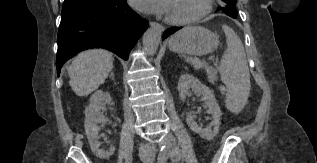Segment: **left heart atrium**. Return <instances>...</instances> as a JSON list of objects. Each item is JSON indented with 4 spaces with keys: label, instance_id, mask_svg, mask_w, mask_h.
I'll use <instances>...</instances> for the list:
<instances>
[{
    "label": "left heart atrium",
    "instance_id": "39dd6f15",
    "mask_svg": "<svg viewBox=\"0 0 317 163\" xmlns=\"http://www.w3.org/2000/svg\"><path fill=\"white\" fill-rule=\"evenodd\" d=\"M134 7L157 15H168L172 0H131Z\"/></svg>",
    "mask_w": 317,
    "mask_h": 163
}]
</instances>
